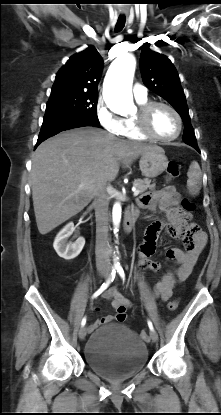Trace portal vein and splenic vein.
Wrapping results in <instances>:
<instances>
[{
	"label": "portal vein and splenic vein",
	"instance_id": "portal-vein-and-splenic-vein-1",
	"mask_svg": "<svg viewBox=\"0 0 221 415\" xmlns=\"http://www.w3.org/2000/svg\"><path fill=\"white\" fill-rule=\"evenodd\" d=\"M83 186H84V185H80V187H83ZM132 191H133V196H134V197L138 196V194H139V190H137V189L133 188V189H132Z\"/></svg>",
	"mask_w": 221,
	"mask_h": 415
}]
</instances>
